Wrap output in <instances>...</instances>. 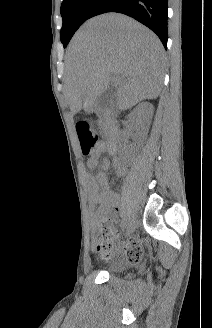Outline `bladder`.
Instances as JSON below:
<instances>
[{"mask_svg": "<svg viewBox=\"0 0 212 328\" xmlns=\"http://www.w3.org/2000/svg\"><path fill=\"white\" fill-rule=\"evenodd\" d=\"M126 268L127 263L122 259H114L107 265L109 274L130 277V275L126 273Z\"/></svg>", "mask_w": 212, "mask_h": 328, "instance_id": "bladder-1", "label": "bladder"}]
</instances>
